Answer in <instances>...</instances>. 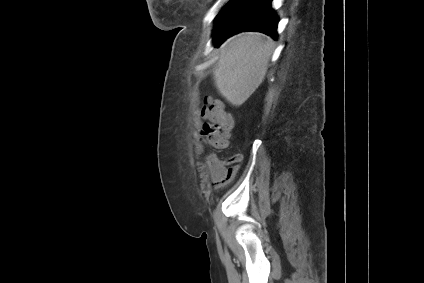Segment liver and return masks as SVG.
<instances>
[{
	"mask_svg": "<svg viewBox=\"0 0 424 283\" xmlns=\"http://www.w3.org/2000/svg\"><path fill=\"white\" fill-rule=\"evenodd\" d=\"M274 44L259 32L241 33L222 44L213 79L219 93L232 105H242L261 85Z\"/></svg>",
	"mask_w": 424,
	"mask_h": 283,
	"instance_id": "obj_1",
	"label": "liver"
}]
</instances>
